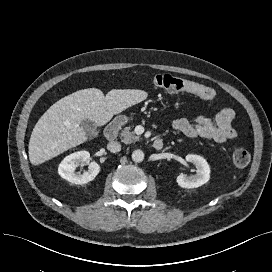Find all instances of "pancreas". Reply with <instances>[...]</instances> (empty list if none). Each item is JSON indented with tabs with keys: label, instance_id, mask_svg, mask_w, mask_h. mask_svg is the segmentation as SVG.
I'll list each match as a JSON object with an SVG mask.
<instances>
[{
	"label": "pancreas",
	"instance_id": "1",
	"mask_svg": "<svg viewBox=\"0 0 272 272\" xmlns=\"http://www.w3.org/2000/svg\"><path fill=\"white\" fill-rule=\"evenodd\" d=\"M120 137L122 139V141L126 144L128 143H135L137 141L140 140V136L136 135L133 131L132 128L130 126L125 127L121 133H120Z\"/></svg>",
	"mask_w": 272,
	"mask_h": 272
}]
</instances>
